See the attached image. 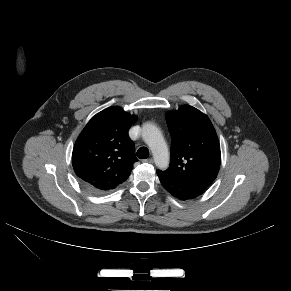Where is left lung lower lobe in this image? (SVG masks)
I'll return each mask as SVG.
<instances>
[{"label": "left lung lower lobe", "mask_w": 291, "mask_h": 291, "mask_svg": "<svg viewBox=\"0 0 291 291\" xmlns=\"http://www.w3.org/2000/svg\"><path fill=\"white\" fill-rule=\"evenodd\" d=\"M157 175L163 187L180 200L194 199L205 191L189 183L171 178L161 171H157Z\"/></svg>", "instance_id": "1"}]
</instances>
